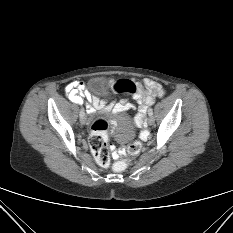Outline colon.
<instances>
[{"label":"colon","mask_w":233,"mask_h":233,"mask_svg":"<svg viewBox=\"0 0 233 233\" xmlns=\"http://www.w3.org/2000/svg\"><path fill=\"white\" fill-rule=\"evenodd\" d=\"M113 89L118 93L133 94L136 91V85L133 81L122 79L114 83ZM108 121L104 118L95 119L90 126L89 146L98 165L106 167L109 165L110 156L107 143ZM142 144L138 141L131 143L128 146V154L136 156L140 153ZM130 163L129 158L116 162L113 166L114 170L122 171Z\"/></svg>","instance_id":"5ec220e1"}]
</instances>
